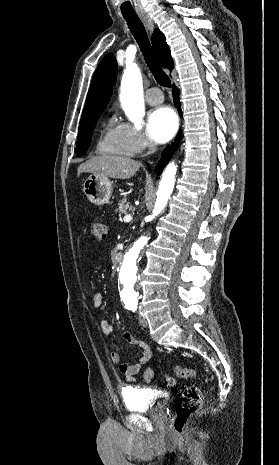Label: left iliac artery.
Masks as SVG:
<instances>
[{"mask_svg": "<svg viewBox=\"0 0 279 465\" xmlns=\"http://www.w3.org/2000/svg\"><path fill=\"white\" fill-rule=\"evenodd\" d=\"M128 309H130V310H132L133 312H135L136 309H137V306H136V305H132V306H129Z\"/></svg>", "mask_w": 279, "mask_h": 465, "instance_id": "left-iliac-artery-1", "label": "left iliac artery"}]
</instances>
